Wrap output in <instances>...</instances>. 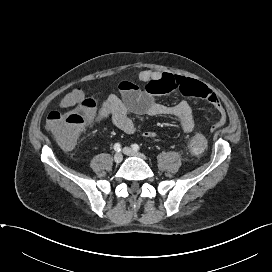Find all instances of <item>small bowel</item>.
<instances>
[{
	"label": "small bowel",
	"instance_id": "small-bowel-1",
	"mask_svg": "<svg viewBox=\"0 0 272 272\" xmlns=\"http://www.w3.org/2000/svg\"><path fill=\"white\" fill-rule=\"evenodd\" d=\"M143 85L141 88L137 83ZM136 82L123 80L119 83L121 96L109 95L98 111L90 114L89 121L99 123L111 119L113 124L126 134L135 132V123L130 114L136 116H168L174 118L185 133L193 131L195 123L192 109L186 102L167 106L156 100V95L180 92L188 97L206 100L218 112L219 120L212 130L226 123L227 115L216 94L205 84L186 77L153 70H143ZM146 138H154V132H145Z\"/></svg>",
	"mask_w": 272,
	"mask_h": 272
}]
</instances>
